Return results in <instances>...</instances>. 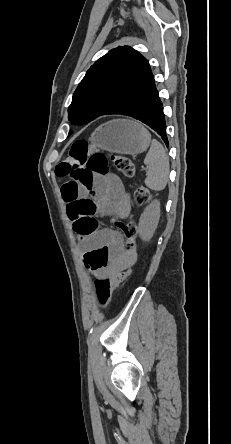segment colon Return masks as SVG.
<instances>
[{
	"instance_id": "1",
	"label": "colon",
	"mask_w": 231,
	"mask_h": 444,
	"mask_svg": "<svg viewBox=\"0 0 231 444\" xmlns=\"http://www.w3.org/2000/svg\"><path fill=\"white\" fill-rule=\"evenodd\" d=\"M114 167L126 177L132 178L136 175V167L133 161L124 155H112ZM109 171L108 158L99 150H93L84 140L76 141L70 148L68 155L55 168L58 177H70L74 186L91 187L97 175H106ZM151 197L150 190L140 185L134 193V200L137 205H143ZM96 205L90 199H83L74 202L70 207V216L74 221V231L82 237L94 234L98 229V222L95 218ZM117 227L124 237L126 252L136 251L137 226L134 221L119 222ZM133 263L117 271L110 277L98 279L95 282V291L98 302L101 306H106L119 287L131 274Z\"/></svg>"
}]
</instances>
